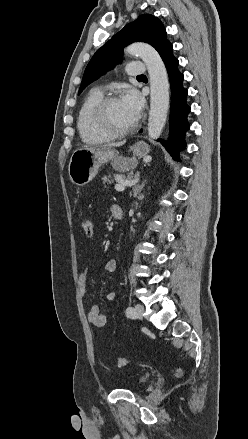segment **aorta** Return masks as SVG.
<instances>
[{
    "label": "aorta",
    "mask_w": 248,
    "mask_h": 439,
    "mask_svg": "<svg viewBox=\"0 0 248 439\" xmlns=\"http://www.w3.org/2000/svg\"><path fill=\"white\" fill-rule=\"evenodd\" d=\"M125 51L139 56L148 69L151 89L148 135L157 139L162 133L169 109V82L165 65L158 52L148 44L133 43Z\"/></svg>",
    "instance_id": "obj_1"
}]
</instances>
